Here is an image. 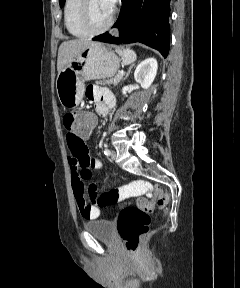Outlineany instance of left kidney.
<instances>
[{"mask_svg": "<svg viewBox=\"0 0 240 288\" xmlns=\"http://www.w3.org/2000/svg\"><path fill=\"white\" fill-rule=\"evenodd\" d=\"M157 69V60L153 57L147 58L137 66L134 79L142 88L148 89L156 77Z\"/></svg>", "mask_w": 240, "mask_h": 288, "instance_id": "5707ae66", "label": "left kidney"}]
</instances>
